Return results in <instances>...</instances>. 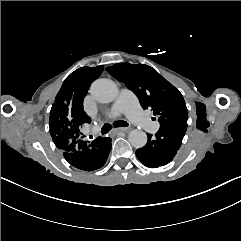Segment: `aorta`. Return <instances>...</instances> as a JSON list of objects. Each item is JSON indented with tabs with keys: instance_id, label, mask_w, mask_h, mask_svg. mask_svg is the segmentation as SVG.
<instances>
[{
	"instance_id": "1",
	"label": "aorta",
	"mask_w": 241,
	"mask_h": 241,
	"mask_svg": "<svg viewBox=\"0 0 241 241\" xmlns=\"http://www.w3.org/2000/svg\"><path fill=\"white\" fill-rule=\"evenodd\" d=\"M91 94L98 102L109 103L117 98L118 87L110 79H97L91 85ZM128 140L132 146L142 148L147 143V134L142 130L134 129L130 131Z\"/></svg>"
}]
</instances>
